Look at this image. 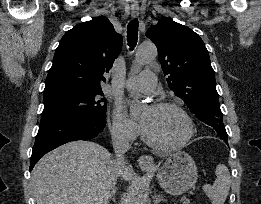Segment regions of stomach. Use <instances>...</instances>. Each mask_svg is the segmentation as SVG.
<instances>
[{
	"label": "stomach",
	"mask_w": 261,
	"mask_h": 204,
	"mask_svg": "<svg viewBox=\"0 0 261 204\" xmlns=\"http://www.w3.org/2000/svg\"><path fill=\"white\" fill-rule=\"evenodd\" d=\"M145 171L149 168L141 166ZM160 186L169 194L180 195L191 189L198 178L196 164L192 157L183 152L171 153L157 172Z\"/></svg>",
	"instance_id": "0dacf381"
}]
</instances>
